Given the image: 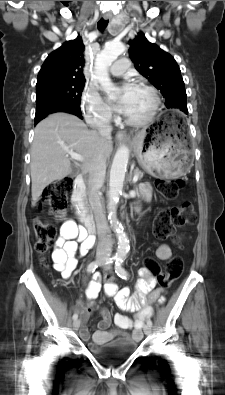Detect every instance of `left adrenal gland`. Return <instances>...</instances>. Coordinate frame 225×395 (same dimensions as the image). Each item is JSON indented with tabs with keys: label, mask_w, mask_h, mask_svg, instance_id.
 <instances>
[{
	"label": "left adrenal gland",
	"mask_w": 225,
	"mask_h": 395,
	"mask_svg": "<svg viewBox=\"0 0 225 395\" xmlns=\"http://www.w3.org/2000/svg\"><path fill=\"white\" fill-rule=\"evenodd\" d=\"M131 176H132V172H130V179H129L130 182H131Z\"/></svg>",
	"instance_id": "obj_1"
}]
</instances>
